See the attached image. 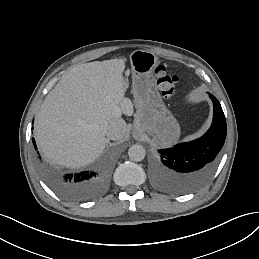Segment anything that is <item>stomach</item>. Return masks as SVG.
Instances as JSON below:
<instances>
[{
  "label": "stomach",
  "instance_id": "obj_1",
  "mask_svg": "<svg viewBox=\"0 0 259 259\" xmlns=\"http://www.w3.org/2000/svg\"><path fill=\"white\" fill-rule=\"evenodd\" d=\"M130 63L133 75H152L159 60L152 52L136 50L130 55Z\"/></svg>",
  "mask_w": 259,
  "mask_h": 259
}]
</instances>
